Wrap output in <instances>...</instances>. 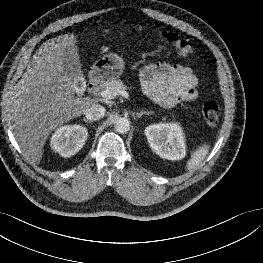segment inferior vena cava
Here are the masks:
<instances>
[{
	"instance_id": "obj_1",
	"label": "inferior vena cava",
	"mask_w": 263,
	"mask_h": 263,
	"mask_svg": "<svg viewBox=\"0 0 263 263\" xmlns=\"http://www.w3.org/2000/svg\"><path fill=\"white\" fill-rule=\"evenodd\" d=\"M84 114L89 121H97L105 115V108L93 103L84 111Z\"/></svg>"
}]
</instances>
